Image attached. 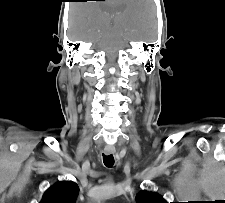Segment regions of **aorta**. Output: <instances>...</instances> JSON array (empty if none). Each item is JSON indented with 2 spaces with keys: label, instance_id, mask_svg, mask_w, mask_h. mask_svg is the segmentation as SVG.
I'll return each mask as SVG.
<instances>
[{
  "label": "aorta",
  "instance_id": "762f6f07",
  "mask_svg": "<svg viewBox=\"0 0 225 203\" xmlns=\"http://www.w3.org/2000/svg\"><path fill=\"white\" fill-rule=\"evenodd\" d=\"M111 191H112L111 187L106 186V187L102 188V189L99 191V193H98V195L96 196V198H101V197H104V196H106V195H109V194L111 193Z\"/></svg>",
  "mask_w": 225,
  "mask_h": 203
}]
</instances>
